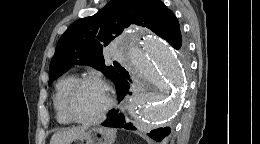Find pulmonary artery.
I'll use <instances>...</instances> for the list:
<instances>
[{
    "instance_id": "obj_1",
    "label": "pulmonary artery",
    "mask_w": 260,
    "mask_h": 144,
    "mask_svg": "<svg viewBox=\"0 0 260 144\" xmlns=\"http://www.w3.org/2000/svg\"><path fill=\"white\" fill-rule=\"evenodd\" d=\"M113 56L115 59H118V60H121L124 58V55L122 54V52H120L118 50L113 51Z\"/></svg>"
}]
</instances>
